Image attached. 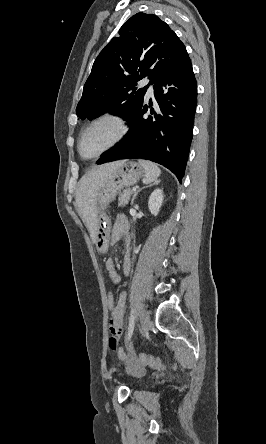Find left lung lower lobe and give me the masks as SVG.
Wrapping results in <instances>:
<instances>
[{
    "instance_id": "0a47b994",
    "label": "left lung lower lobe",
    "mask_w": 266,
    "mask_h": 444,
    "mask_svg": "<svg viewBox=\"0 0 266 444\" xmlns=\"http://www.w3.org/2000/svg\"><path fill=\"white\" fill-rule=\"evenodd\" d=\"M160 112L144 117L142 106L128 121V136L104 153L98 164L118 159L141 158L170 169L179 182L184 176L193 134L197 84L188 53L154 85ZM149 105H152L150 100Z\"/></svg>"
}]
</instances>
